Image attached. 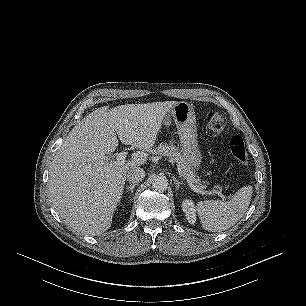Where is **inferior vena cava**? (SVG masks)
<instances>
[{"label":"inferior vena cava","mask_w":306,"mask_h":306,"mask_svg":"<svg viewBox=\"0 0 306 306\" xmlns=\"http://www.w3.org/2000/svg\"><path fill=\"white\" fill-rule=\"evenodd\" d=\"M145 175L146 173L142 168L136 167L127 173V180L130 183L137 184L144 179Z\"/></svg>","instance_id":"obj_1"}]
</instances>
